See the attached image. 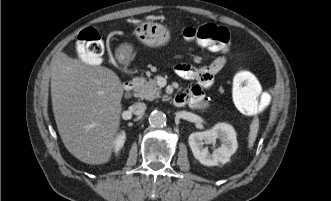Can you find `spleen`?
Here are the masks:
<instances>
[{
  "mask_svg": "<svg viewBox=\"0 0 331 201\" xmlns=\"http://www.w3.org/2000/svg\"><path fill=\"white\" fill-rule=\"evenodd\" d=\"M259 130V119L258 117H254L251 125H250V132L248 135V147L249 149H251L254 145V142L256 140L257 137V133Z\"/></svg>",
  "mask_w": 331,
  "mask_h": 201,
  "instance_id": "spleen-1",
  "label": "spleen"
}]
</instances>
